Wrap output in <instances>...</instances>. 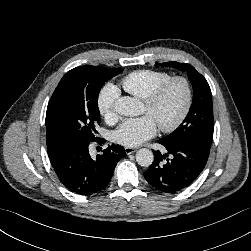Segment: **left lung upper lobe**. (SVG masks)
Masks as SVG:
<instances>
[{"label": "left lung upper lobe", "instance_id": "obj_1", "mask_svg": "<svg viewBox=\"0 0 251 251\" xmlns=\"http://www.w3.org/2000/svg\"><path fill=\"white\" fill-rule=\"evenodd\" d=\"M161 66L174 67L187 71L193 87V102L183 123L171 134L160 139L167 145L185 141H195L210 149L213 130L212 93L206 79L187 63L166 62Z\"/></svg>", "mask_w": 251, "mask_h": 251}]
</instances>
